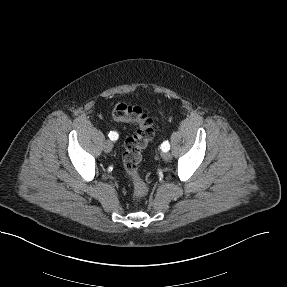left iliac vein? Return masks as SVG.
<instances>
[{"mask_svg": "<svg viewBox=\"0 0 287 287\" xmlns=\"http://www.w3.org/2000/svg\"><path fill=\"white\" fill-rule=\"evenodd\" d=\"M162 158L165 160V161H169V160H171V158H172V155H171V153L170 152H163L162 153Z\"/></svg>", "mask_w": 287, "mask_h": 287, "instance_id": "obj_1", "label": "left iliac vein"}]
</instances>
